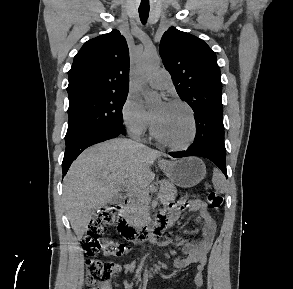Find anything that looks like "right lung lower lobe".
<instances>
[{"label":"right lung lower lobe","mask_w":293,"mask_h":289,"mask_svg":"<svg viewBox=\"0 0 293 289\" xmlns=\"http://www.w3.org/2000/svg\"><path fill=\"white\" fill-rule=\"evenodd\" d=\"M119 135H126L123 124H109L89 129L66 140V150L62 162L63 176L74 159L87 147Z\"/></svg>","instance_id":"right-lung-lower-lobe-1"}]
</instances>
